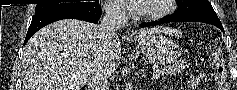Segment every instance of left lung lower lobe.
<instances>
[{
    "label": "left lung lower lobe",
    "mask_w": 237,
    "mask_h": 90,
    "mask_svg": "<svg viewBox=\"0 0 237 90\" xmlns=\"http://www.w3.org/2000/svg\"><path fill=\"white\" fill-rule=\"evenodd\" d=\"M183 21H185V22H203V23L212 24L224 32V29H223L220 21L209 20V19L199 18V17H195V16H191V15L177 14V13L169 15L157 22L141 24L140 27H150V26H156V25L163 24V23L183 22Z\"/></svg>",
    "instance_id": "1"
}]
</instances>
